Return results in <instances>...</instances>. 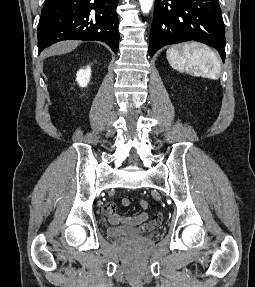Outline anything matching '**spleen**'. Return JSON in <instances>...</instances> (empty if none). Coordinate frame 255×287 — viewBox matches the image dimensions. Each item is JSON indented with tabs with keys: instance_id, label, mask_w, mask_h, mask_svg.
<instances>
[{
	"instance_id": "3e777b00",
	"label": "spleen",
	"mask_w": 255,
	"mask_h": 287,
	"mask_svg": "<svg viewBox=\"0 0 255 287\" xmlns=\"http://www.w3.org/2000/svg\"><path fill=\"white\" fill-rule=\"evenodd\" d=\"M166 56L174 70H180L186 66L193 72H199L201 78L218 80L220 76V60L203 44H197V42L176 44L167 50Z\"/></svg>"
}]
</instances>
